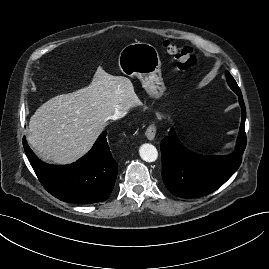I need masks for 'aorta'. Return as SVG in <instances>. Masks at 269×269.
<instances>
[{"label":"aorta","mask_w":269,"mask_h":269,"mask_svg":"<svg viewBox=\"0 0 269 269\" xmlns=\"http://www.w3.org/2000/svg\"><path fill=\"white\" fill-rule=\"evenodd\" d=\"M140 157L146 162H154L158 157L157 149L154 145L145 143L139 148Z\"/></svg>","instance_id":"aorta-1"}]
</instances>
